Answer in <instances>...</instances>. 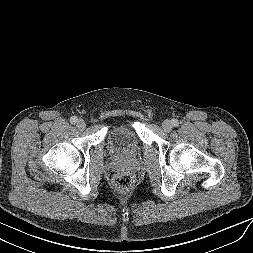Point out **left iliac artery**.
Wrapping results in <instances>:
<instances>
[{"mask_svg":"<svg viewBox=\"0 0 253 253\" xmlns=\"http://www.w3.org/2000/svg\"><path fill=\"white\" fill-rule=\"evenodd\" d=\"M171 123H172L173 126H178L179 125V122H178L177 119H172Z\"/></svg>","mask_w":253,"mask_h":253,"instance_id":"1","label":"left iliac artery"}]
</instances>
